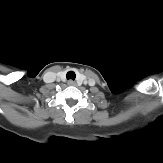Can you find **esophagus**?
I'll list each match as a JSON object with an SVG mask.
<instances>
[{
  "label": "esophagus",
  "instance_id": "34e87169",
  "mask_svg": "<svg viewBox=\"0 0 163 163\" xmlns=\"http://www.w3.org/2000/svg\"><path fill=\"white\" fill-rule=\"evenodd\" d=\"M67 83L69 86H75L76 85V82L73 80H69Z\"/></svg>",
  "mask_w": 163,
  "mask_h": 163
}]
</instances>
